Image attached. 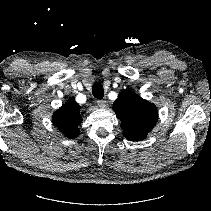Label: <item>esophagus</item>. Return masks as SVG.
Wrapping results in <instances>:
<instances>
[{
    "label": "esophagus",
    "instance_id": "esophagus-1",
    "mask_svg": "<svg viewBox=\"0 0 211 211\" xmlns=\"http://www.w3.org/2000/svg\"><path fill=\"white\" fill-rule=\"evenodd\" d=\"M97 105H98L100 108H103V109L108 108V102H107L106 100H98V101H97Z\"/></svg>",
    "mask_w": 211,
    "mask_h": 211
}]
</instances>
